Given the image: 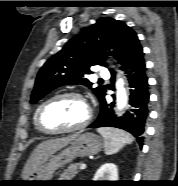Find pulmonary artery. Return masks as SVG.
I'll use <instances>...</instances> for the list:
<instances>
[{
  "instance_id": "pulmonary-artery-1",
  "label": "pulmonary artery",
  "mask_w": 178,
  "mask_h": 186,
  "mask_svg": "<svg viewBox=\"0 0 178 186\" xmlns=\"http://www.w3.org/2000/svg\"><path fill=\"white\" fill-rule=\"evenodd\" d=\"M99 74H100V76H102L104 78L109 76L108 70L105 67H103V66L99 67Z\"/></svg>"
}]
</instances>
